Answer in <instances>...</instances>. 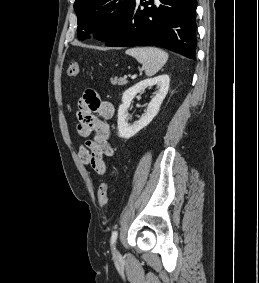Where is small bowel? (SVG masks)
<instances>
[{
  "label": "small bowel",
  "mask_w": 259,
  "mask_h": 283,
  "mask_svg": "<svg viewBox=\"0 0 259 283\" xmlns=\"http://www.w3.org/2000/svg\"><path fill=\"white\" fill-rule=\"evenodd\" d=\"M113 115L112 103L102 100L94 90H86L78 100L76 130L85 139L78 155L85 165L90 166L99 175L106 174L104 156L114 155L109 142L111 131L107 123Z\"/></svg>",
  "instance_id": "obj_1"
}]
</instances>
